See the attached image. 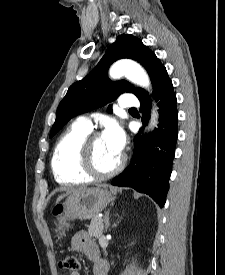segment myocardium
Masks as SVG:
<instances>
[{
    "label": "myocardium",
    "mask_w": 225,
    "mask_h": 275,
    "mask_svg": "<svg viewBox=\"0 0 225 275\" xmlns=\"http://www.w3.org/2000/svg\"><path fill=\"white\" fill-rule=\"evenodd\" d=\"M97 133L88 134L81 142L78 149V166L79 169L90 179H108L117 175L125 165V157L121 156L118 164L109 172L98 171L93 162L92 143L99 138Z\"/></svg>",
    "instance_id": "f54148a6"
}]
</instances>
